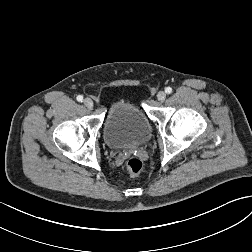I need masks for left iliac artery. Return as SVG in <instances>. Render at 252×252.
<instances>
[{"label":"left iliac artery","mask_w":252,"mask_h":252,"mask_svg":"<svg viewBox=\"0 0 252 252\" xmlns=\"http://www.w3.org/2000/svg\"><path fill=\"white\" fill-rule=\"evenodd\" d=\"M165 92H166L167 94H170V93L172 92V88H171V87H166V88H165Z\"/></svg>","instance_id":"left-iliac-artery-1"}]
</instances>
